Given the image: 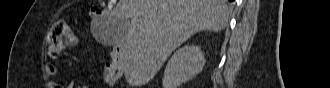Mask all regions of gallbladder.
I'll return each mask as SVG.
<instances>
[{
    "label": "gallbladder",
    "mask_w": 330,
    "mask_h": 88,
    "mask_svg": "<svg viewBox=\"0 0 330 88\" xmlns=\"http://www.w3.org/2000/svg\"><path fill=\"white\" fill-rule=\"evenodd\" d=\"M120 23H111L109 26L106 27L105 29V33L106 36L109 40V45L110 44H116L115 40H114V36L118 33H123L124 31H126L129 27V20H125L122 25H119Z\"/></svg>",
    "instance_id": "1"
}]
</instances>
